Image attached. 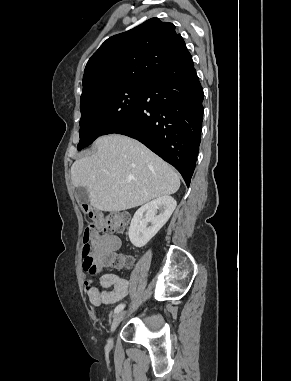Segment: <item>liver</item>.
<instances>
[{
    "mask_svg": "<svg viewBox=\"0 0 291 381\" xmlns=\"http://www.w3.org/2000/svg\"><path fill=\"white\" fill-rule=\"evenodd\" d=\"M97 152L71 167L74 187H86L93 208L119 212L178 191L177 172L139 141L123 135L96 140Z\"/></svg>",
    "mask_w": 291,
    "mask_h": 381,
    "instance_id": "1",
    "label": "liver"
}]
</instances>
